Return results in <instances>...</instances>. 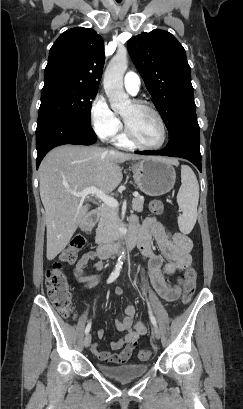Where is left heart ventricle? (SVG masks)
Instances as JSON below:
<instances>
[{"label": "left heart ventricle", "instance_id": "1", "mask_svg": "<svg viewBox=\"0 0 243 409\" xmlns=\"http://www.w3.org/2000/svg\"><path fill=\"white\" fill-rule=\"evenodd\" d=\"M134 135L147 144H157L162 137L161 127L155 116L143 107L129 102L121 111Z\"/></svg>", "mask_w": 243, "mask_h": 409}]
</instances>
